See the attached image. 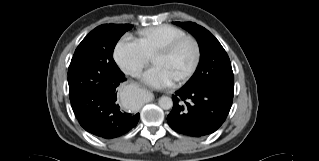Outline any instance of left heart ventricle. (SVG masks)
<instances>
[{"label":"left heart ventricle","mask_w":319,"mask_h":161,"mask_svg":"<svg viewBox=\"0 0 319 161\" xmlns=\"http://www.w3.org/2000/svg\"><path fill=\"white\" fill-rule=\"evenodd\" d=\"M193 59V45L190 42H184L171 55L167 57H155L152 62L154 65L163 68L175 80L188 70Z\"/></svg>","instance_id":"left-heart-ventricle-1"}]
</instances>
